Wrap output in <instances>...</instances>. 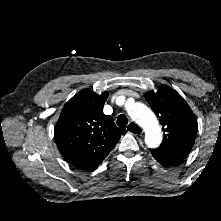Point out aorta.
Listing matches in <instances>:
<instances>
[{"label": "aorta", "mask_w": 221, "mask_h": 221, "mask_svg": "<svg viewBox=\"0 0 221 221\" xmlns=\"http://www.w3.org/2000/svg\"><path fill=\"white\" fill-rule=\"evenodd\" d=\"M126 111L144 129L147 147L157 148L162 142V131L155 114L140 102L128 104Z\"/></svg>", "instance_id": "762f6f07"}]
</instances>
